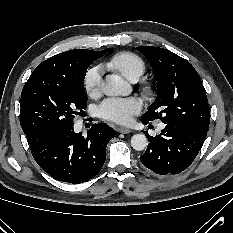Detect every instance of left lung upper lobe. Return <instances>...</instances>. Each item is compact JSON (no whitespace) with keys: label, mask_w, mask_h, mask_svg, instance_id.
<instances>
[{"label":"left lung upper lobe","mask_w":233,"mask_h":233,"mask_svg":"<svg viewBox=\"0 0 233 233\" xmlns=\"http://www.w3.org/2000/svg\"><path fill=\"white\" fill-rule=\"evenodd\" d=\"M151 63L157 79V97L141 121L161 119L165 124H189L208 131L209 105L204 86L193 66L164 48H136Z\"/></svg>","instance_id":"obj_1"}]
</instances>
